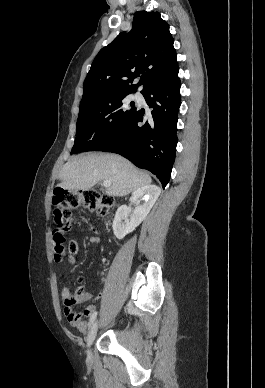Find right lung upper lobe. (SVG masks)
<instances>
[{
  "mask_svg": "<svg viewBox=\"0 0 265 388\" xmlns=\"http://www.w3.org/2000/svg\"><path fill=\"white\" fill-rule=\"evenodd\" d=\"M173 38L158 12L139 11L130 32L102 48L84 81L83 98L100 91L136 92L179 71ZM140 81L132 85L135 78Z\"/></svg>",
  "mask_w": 265,
  "mask_h": 388,
  "instance_id": "obj_1",
  "label": "right lung upper lobe"
}]
</instances>
